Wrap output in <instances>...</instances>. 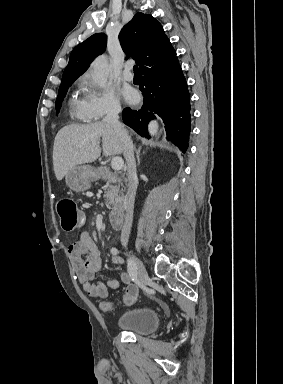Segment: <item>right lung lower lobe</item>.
Segmentation results:
<instances>
[{
    "label": "right lung lower lobe",
    "instance_id": "obj_1",
    "mask_svg": "<svg viewBox=\"0 0 283 384\" xmlns=\"http://www.w3.org/2000/svg\"><path fill=\"white\" fill-rule=\"evenodd\" d=\"M144 96L140 109L125 108L122 118L138 134L149 138L148 124L163 122L167 138L182 152L188 147L190 133V94L179 62L170 68L141 77Z\"/></svg>",
    "mask_w": 283,
    "mask_h": 384
}]
</instances>
